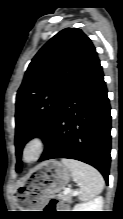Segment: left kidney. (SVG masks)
Masks as SVG:
<instances>
[{
	"label": "left kidney",
	"instance_id": "obj_1",
	"mask_svg": "<svg viewBox=\"0 0 123 219\" xmlns=\"http://www.w3.org/2000/svg\"><path fill=\"white\" fill-rule=\"evenodd\" d=\"M102 207L103 198L97 197L90 202L75 205L73 211H102Z\"/></svg>",
	"mask_w": 123,
	"mask_h": 219
}]
</instances>
